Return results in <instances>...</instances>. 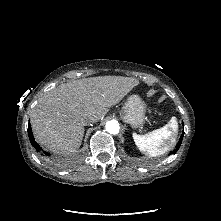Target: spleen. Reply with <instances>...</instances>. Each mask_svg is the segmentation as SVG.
Returning <instances> with one entry per match:
<instances>
[{
  "instance_id": "3e777b00",
  "label": "spleen",
  "mask_w": 221,
  "mask_h": 221,
  "mask_svg": "<svg viewBox=\"0 0 221 221\" xmlns=\"http://www.w3.org/2000/svg\"><path fill=\"white\" fill-rule=\"evenodd\" d=\"M178 131V123L175 117L163 127L145 135L133 134L138 149L146 155L156 157L167 152L174 144Z\"/></svg>"
}]
</instances>
